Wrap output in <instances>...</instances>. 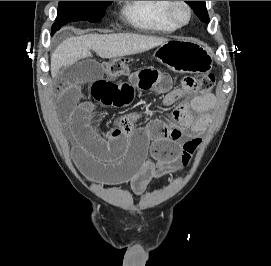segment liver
I'll list each match as a JSON object with an SVG mask.
<instances>
[{"label":"liver","instance_id":"6515ba94","mask_svg":"<svg viewBox=\"0 0 271 266\" xmlns=\"http://www.w3.org/2000/svg\"><path fill=\"white\" fill-rule=\"evenodd\" d=\"M168 39L140 34H89L63 41L51 56V75L56 78L59 67H68L80 59L91 57V50L101 58H115L148 51Z\"/></svg>","mask_w":271,"mask_h":266}]
</instances>
